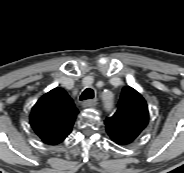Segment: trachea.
Instances as JSON below:
<instances>
[{
	"instance_id": "obj_1",
	"label": "trachea",
	"mask_w": 184,
	"mask_h": 173,
	"mask_svg": "<svg viewBox=\"0 0 184 173\" xmlns=\"http://www.w3.org/2000/svg\"><path fill=\"white\" fill-rule=\"evenodd\" d=\"M92 98H94V91H93V89H91V88L85 89V90L82 92L81 96H80V100H81V101H82V100H87V99H92Z\"/></svg>"
}]
</instances>
